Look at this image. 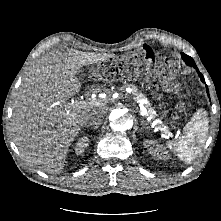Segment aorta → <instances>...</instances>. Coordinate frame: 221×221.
<instances>
[{
    "mask_svg": "<svg viewBox=\"0 0 221 221\" xmlns=\"http://www.w3.org/2000/svg\"><path fill=\"white\" fill-rule=\"evenodd\" d=\"M110 126L116 132H126L132 128L133 118L124 109H115L110 114Z\"/></svg>",
    "mask_w": 221,
    "mask_h": 221,
    "instance_id": "1",
    "label": "aorta"
}]
</instances>
